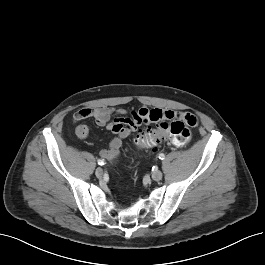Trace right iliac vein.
<instances>
[{"mask_svg":"<svg viewBox=\"0 0 265 265\" xmlns=\"http://www.w3.org/2000/svg\"><path fill=\"white\" fill-rule=\"evenodd\" d=\"M95 174L98 178L102 177L103 170L101 168H97Z\"/></svg>","mask_w":265,"mask_h":265,"instance_id":"obj_1","label":"right iliac vein"}]
</instances>
